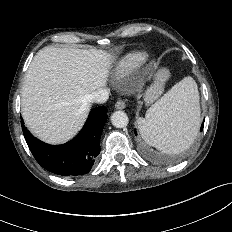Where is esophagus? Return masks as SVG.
<instances>
[{"mask_svg":"<svg viewBox=\"0 0 232 232\" xmlns=\"http://www.w3.org/2000/svg\"><path fill=\"white\" fill-rule=\"evenodd\" d=\"M124 108H125V102L124 101L118 100L115 103V109H117V110H123Z\"/></svg>","mask_w":232,"mask_h":232,"instance_id":"obj_1","label":"esophagus"}]
</instances>
